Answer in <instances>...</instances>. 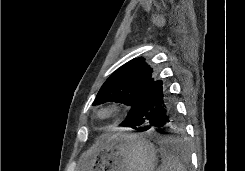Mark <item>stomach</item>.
<instances>
[{
  "mask_svg": "<svg viewBox=\"0 0 245 171\" xmlns=\"http://www.w3.org/2000/svg\"><path fill=\"white\" fill-rule=\"evenodd\" d=\"M157 151L143 135L118 132L100 145L80 171H154Z\"/></svg>",
  "mask_w": 245,
  "mask_h": 171,
  "instance_id": "0dacf381",
  "label": "stomach"
}]
</instances>
